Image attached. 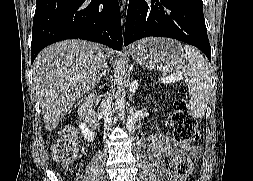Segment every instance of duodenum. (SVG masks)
<instances>
[{
    "label": "duodenum",
    "mask_w": 253,
    "mask_h": 181,
    "mask_svg": "<svg viewBox=\"0 0 253 181\" xmlns=\"http://www.w3.org/2000/svg\"><path fill=\"white\" fill-rule=\"evenodd\" d=\"M93 100L89 99L86 101L85 104V117L86 120L88 121V123L90 124V126L94 129V130H98L99 129V124H98V115L94 112L91 111L92 106H93Z\"/></svg>",
    "instance_id": "1"
}]
</instances>
